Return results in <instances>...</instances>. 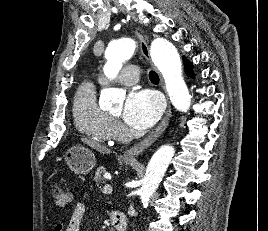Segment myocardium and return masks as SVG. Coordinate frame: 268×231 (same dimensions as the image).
Instances as JSON below:
<instances>
[{
	"mask_svg": "<svg viewBox=\"0 0 268 231\" xmlns=\"http://www.w3.org/2000/svg\"><path fill=\"white\" fill-rule=\"evenodd\" d=\"M111 116L113 117V118H117L118 116H116V115H113V114H111Z\"/></svg>",
	"mask_w": 268,
	"mask_h": 231,
	"instance_id": "obj_1",
	"label": "myocardium"
}]
</instances>
